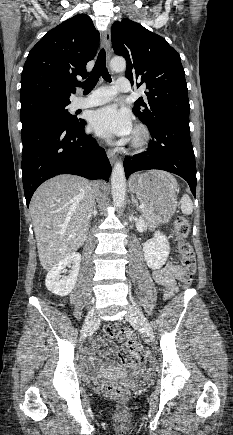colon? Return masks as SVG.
I'll use <instances>...</instances> for the list:
<instances>
[{"instance_id": "1", "label": "colon", "mask_w": 233, "mask_h": 435, "mask_svg": "<svg viewBox=\"0 0 233 435\" xmlns=\"http://www.w3.org/2000/svg\"><path fill=\"white\" fill-rule=\"evenodd\" d=\"M175 237L178 247V253L180 257L181 265L186 269L187 274L182 279V285L185 290L191 289L192 273L195 270V254L192 246L187 242V238L190 232V226L188 221L182 217H176L174 221ZM104 332L108 336L114 335V329L111 326L104 328ZM126 339V347L133 352H142L140 343L136 340L134 334L124 329L121 334L116 336L118 341ZM101 392L104 396L114 399L118 402H124L130 396V390L128 388L112 384L104 383L100 386Z\"/></svg>"}]
</instances>
